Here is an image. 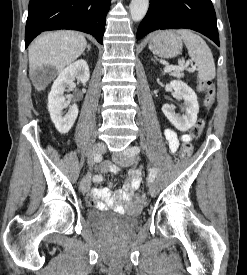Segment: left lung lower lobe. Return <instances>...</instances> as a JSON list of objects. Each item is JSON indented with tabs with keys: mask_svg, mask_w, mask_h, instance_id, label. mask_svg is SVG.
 Instances as JSON below:
<instances>
[{
	"mask_svg": "<svg viewBox=\"0 0 247 275\" xmlns=\"http://www.w3.org/2000/svg\"><path fill=\"white\" fill-rule=\"evenodd\" d=\"M187 28L219 45L216 14L211 0H150L139 25L137 39L158 29Z\"/></svg>",
	"mask_w": 247,
	"mask_h": 275,
	"instance_id": "1",
	"label": "left lung lower lobe"
}]
</instances>
